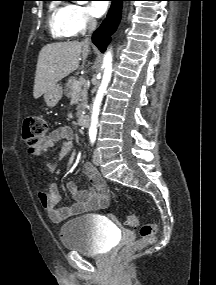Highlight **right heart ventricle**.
Segmentation results:
<instances>
[{
    "mask_svg": "<svg viewBox=\"0 0 216 285\" xmlns=\"http://www.w3.org/2000/svg\"><path fill=\"white\" fill-rule=\"evenodd\" d=\"M49 12V26L54 38L65 39L75 34L70 25L69 5H52Z\"/></svg>",
    "mask_w": 216,
    "mask_h": 285,
    "instance_id": "e07e8e85",
    "label": "right heart ventricle"
}]
</instances>
